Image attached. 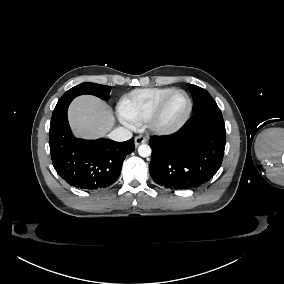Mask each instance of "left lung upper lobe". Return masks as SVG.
Segmentation results:
<instances>
[{
	"label": "left lung upper lobe",
	"instance_id": "1",
	"mask_svg": "<svg viewBox=\"0 0 284 284\" xmlns=\"http://www.w3.org/2000/svg\"><path fill=\"white\" fill-rule=\"evenodd\" d=\"M193 97V114L198 113L208 108H217L215 100L203 88L196 85L187 84Z\"/></svg>",
	"mask_w": 284,
	"mask_h": 284
}]
</instances>
